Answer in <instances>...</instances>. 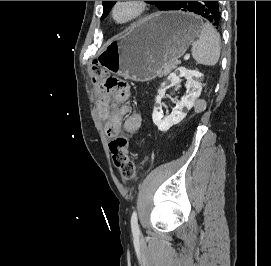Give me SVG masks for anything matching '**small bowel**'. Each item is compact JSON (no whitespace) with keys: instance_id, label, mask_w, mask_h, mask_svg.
I'll list each match as a JSON object with an SVG mask.
<instances>
[{"instance_id":"small-bowel-1","label":"small bowel","mask_w":271,"mask_h":266,"mask_svg":"<svg viewBox=\"0 0 271 266\" xmlns=\"http://www.w3.org/2000/svg\"><path fill=\"white\" fill-rule=\"evenodd\" d=\"M127 98H120L99 91L97 110L100 118L105 121V133L113 137L121 130L130 134L136 133L142 124L141 114L131 111L126 104Z\"/></svg>"}]
</instances>
